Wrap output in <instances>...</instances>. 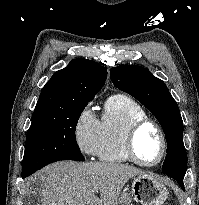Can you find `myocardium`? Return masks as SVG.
I'll list each match as a JSON object with an SVG mask.
<instances>
[{
	"mask_svg": "<svg viewBox=\"0 0 199 205\" xmlns=\"http://www.w3.org/2000/svg\"><path fill=\"white\" fill-rule=\"evenodd\" d=\"M145 126L154 127L159 133L161 139V143H162L161 154L159 158L154 162H145L141 160L136 152L135 142H136L137 134ZM124 149L128 158L132 162L144 167H154L162 163V161L164 160L168 150V140L162 126L157 121L146 117L141 120H137L130 125L125 135Z\"/></svg>",
	"mask_w": 199,
	"mask_h": 205,
	"instance_id": "f54148a6",
	"label": "myocardium"
}]
</instances>
